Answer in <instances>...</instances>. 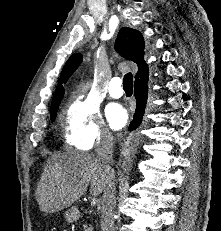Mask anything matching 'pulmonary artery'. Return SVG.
Wrapping results in <instances>:
<instances>
[{"label": "pulmonary artery", "mask_w": 221, "mask_h": 231, "mask_svg": "<svg viewBox=\"0 0 221 231\" xmlns=\"http://www.w3.org/2000/svg\"><path fill=\"white\" fill-rule=\"evenodd\" d=\"M121 84H122V80L119 77H114L111 80L108 92H109V95L112 98H120V97H122L123 89H122Z\"/></svg>", "instance_id": "1"}]
</instances>
